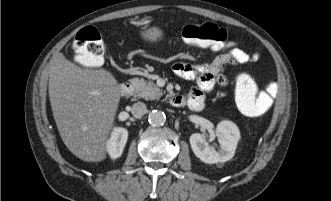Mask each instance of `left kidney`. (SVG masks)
I'll return each instance as SVG.
<instances>
[{"mask_svg": "<svg viewBox=\"0 0 331 201\" xmlns=\"http://www.w3.org/2000/svg\"><path fill=\"white\" fill-rule=\"evenodd\" d=\"M218 137L220 147L215 150L209 145V142ZM240 132L238 127L231 121L223 120L218 123L216 132L209 136V140L205 135L194 133L190 136V145L195 156L202 162L215 164L218 162H227L233 156L237 149Z\"/></svg>", "mask_w": 331, "mask_h": 201, "instance_id": "5707ae66", "label": "left kidney"}]
</instances>
